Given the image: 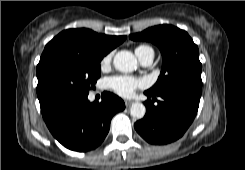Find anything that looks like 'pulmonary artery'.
<instances>
[{
    "label": "pulmonary artery",
    "instance_id": "obj_1",
    "mask_svg": "<svg viewBox=\"0 0 245 170\" xmlns=\"http://www.w3.org/2000/svg\"><path fill=\"white\" fill-rule=\"evenodd\" d=\"M154 54H149L141 59V62L144 66H150L153 62Z\"/></svg>",
    "mask_w": 245,
    "mask_h": 170
}]
</instances>
